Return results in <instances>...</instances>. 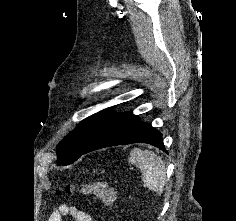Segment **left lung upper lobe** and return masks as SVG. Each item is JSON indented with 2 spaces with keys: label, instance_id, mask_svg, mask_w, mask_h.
<instances>
[{
  "label": "left lung upper lobe",
  "instance_id": "5c2ea615",
  "mask_svg": "<svg viewBox=\"0 0 236 221\" xmlns=\"http://www.w3.org/2000/svg\"><path fill=\"white\" fill-rule=\"evenodd\" d=\"M111 114V110L101 111L96 113L81 123L71 131L65 138L57 145L58 165H69L77 160L79 153L90 142L94 134L97 132L101 124Z\"/></svg>",
  "mask_w": 236,
  "mask_h": 221
}]
</instances>
